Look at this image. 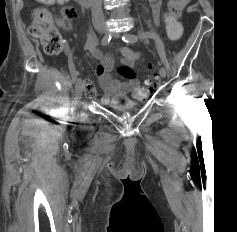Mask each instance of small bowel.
<instances>
[{
	"label": "small bowel",
	"mask_w": 237,
	"mask_h": 232,
	"mask_svg": "<svg viewBox=\"0 0 237 232\" xmlns=\"http://www.w3.org/2000/svg\"><path fill=\"white\" fill-rule=\"evenodd\" d=\"M167 2L168 11L178 18L189 0H167ZM149 3L153 11L154 21L158 25L160 23L162 0H149ZM57 25L64 31H69L72 29V20L67 19L63 14V17L57 20ZM86 48L93 58L99 61L95 74L103 90L101 98L103 104H124L130 102L128 99L129 94L136 100H144L148 97L149 90L140 84L134 70L135 63L141 56L140 52L133 51L125 46L118 48L121 55V64L117 67L116 71L124 79L119 81L112 76L114 69L113 58L109 54H103L93 40L87 41ZM64 50L67 54L70 52L67 45L64 46ZM84 88L89 97L96 96V88L90 80L84 81Z\"/></svg>",
	"instance_id": "1"
}]
</instances>
